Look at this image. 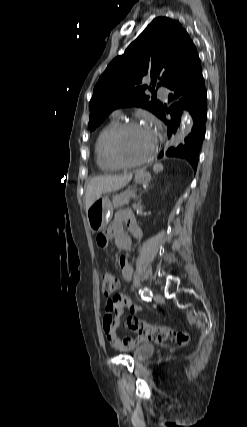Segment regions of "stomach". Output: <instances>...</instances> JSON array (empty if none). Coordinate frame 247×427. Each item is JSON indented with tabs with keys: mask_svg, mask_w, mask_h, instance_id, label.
<instances>
[{
	"mask_svg": "<svg viewBox=\"0 0 247 427\" xmlns=\"http://www.w3.org/2000/svg\"><path fill=\"white\" fill-rule=\"evenodd\" d=\"M156 172L162 170V167L154 169ZM151 176L146 172H139L135 176V181L138 184H146L150 181ZM113 211V205L108 196H100L87 210V221L89 228L93 232L103 230L110 218Z\"/></svg>",
	"mask_w": 247,
	"mask_h": 427,
	"instance_id": "obj_1",
	"label": "stomach"
}]
</instances>
